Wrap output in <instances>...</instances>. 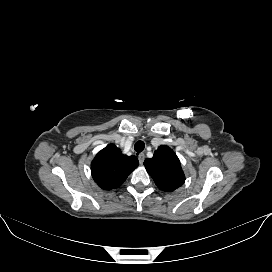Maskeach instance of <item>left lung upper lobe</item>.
Masks as SVG:
<instances>
[{
  "label": "left lung upper lobe",
  "mask_w": 272,
  "mask_h": 272,
  "mask_svg": "<svg viewBox=\"0 0 272 272\" xmlns=\"http://www.w3.org/2000/svg\"><path fill=\"white\" fill-rule=\"evenodd\" d=\"M145 168L159 189L172 192L182 186L185 176L175 152L161 145L152 158L144 161Z\"/></svg>",
  "instance_id": "left-lung-upper-lobe-1"
}]
</instances>
